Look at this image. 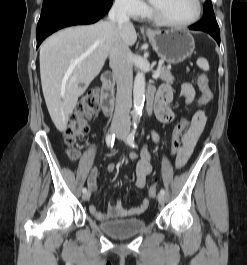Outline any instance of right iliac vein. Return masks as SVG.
Segmentation results:
<instances>
[{"mask_svg":"<svg viewBox=\"0 0 247 265\" xmlns=\"http://www.w3.org/2000/svg\"><path fill=\"white\" fill-rule=\"evenodd\" d=\"M110 132L111 133H120L121 132V128L119 127H111L110 129ZM90 196H91V192L90 191H87L85 192L83 195H82V198L84 201H88L90 199Z\"/></svg>","mask_w":247,"mask_h":265,"instance_id":"right-iliac-vein-1","label":"right iliac vein"}]
</instances>
